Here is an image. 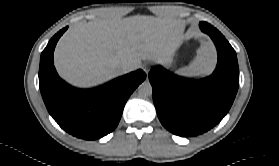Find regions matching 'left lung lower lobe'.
Returning a JSON list of instances; mask_svg holds the SVG:
<instances>
[{
	"label": "left lung lower lobe",
	"instance_id": "0a47b994",
	"mask_svg": "<svg viewBox=\"0 0 279 166\" xmlns=\"http://www.w3.org/2000/svg\"><path fill=\"white\" fill-rule=\"evenodd\" d=\"M218 51L215 72L190 81L155 67L149 72L153 101L162 125L175 135L202 134L218 124L229 111L239 86L235 50L224 36L207 22H200Z\"/></svg>",
	"mask_w": 279,
	"mask_h": 166
}]
</instances>
